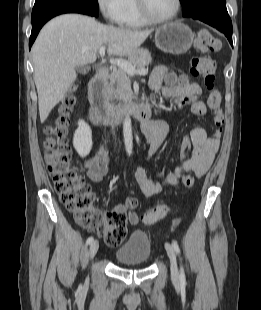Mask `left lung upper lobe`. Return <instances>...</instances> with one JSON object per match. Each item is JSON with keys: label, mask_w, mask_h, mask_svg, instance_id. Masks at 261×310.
<instances>
[{"label": "left lung upper lobe", "mask_w": 261, "mask_h": 310, "mask_svg": "<svg viewBox=\"0 0 261 310\" xmlns=\"http://www.w3.org/2000/svg\"><path fill=\"white\" fill-rule=\"evenodd\" d=\"M180 2L183 16L191 18L226 9V0H180Z\"/></svg>", "instance_id": "5c2ea615"}]
</instances>
